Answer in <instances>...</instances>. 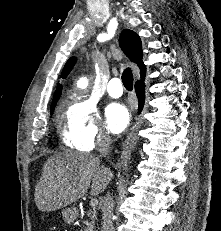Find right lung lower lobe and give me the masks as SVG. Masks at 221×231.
Instances as JSON below:
<instances>
[{
  "instance_id": "obj_1",
  "label": "right lung lower lobe",
  "mask_w": 221,
  "mask_h": 231,
  "mask_svg": "<svg viewBox=\"0 0 221 231\" xmlns=\"http://www.w3.org/2000/svg\"><path fill=\"white\" fill-rule=\"evenodd\" d=\"M135 91L138 97L139 101V108L138 111L140 112L144 105V99H145V91H144V82L143 80L137 81L135 85Z\"/></svg>"
}]
</instances>
